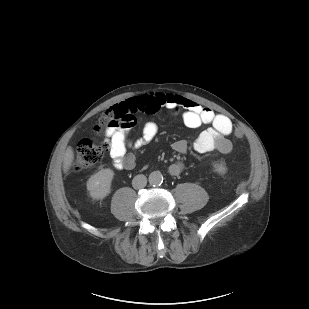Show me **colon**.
Returning a JSON list of instances; mask_svg holds the SVG:
<instances>
[{
	"label": "colon",
	"mask_w": 309,
	"mask_h": 309,
	"mask_svg": "<svg viewBox=\"0 0 309 309\" xmlns=\"http://www.w3.org/2000/svg\"><path fill=\"white\" fill-rule=\"evenodd\" d=\"M136 124V119L132 113L119 112L116 106L106 110L101 114L99 122L95 127L96 135H101L103 131L110 127H129ZM234 134L237 138L243 137V131L236 126ZM106 144L90 138L82 139L76 149V156L73 162V169L76 172L88 169L99 163L105 154Z\"/></svg>",
	"instance_id": "obj_1"
}]
</instances>
